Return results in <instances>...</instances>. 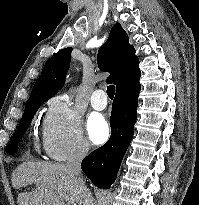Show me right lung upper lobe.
Here are the masks:
<instances>
[{
    "label": "right lung upper lobe",
    "instance_id": "obj_1",
    "mask_svg": "<svg viewBox=\"0 0 199 205\" xmlns=\"http://www.w3.org/2000/svg\"><path fill=\"white\" fill-rule=\"evenodd\" d=\"M71 52V47L62 49L45 63L28 102L49 99L63 87ZM97 63L100 70L110 73L106 82L115 84L116 91L140 75L139 60L135 55V49L129 44L128 35L119 23L112 27L108 40L99 49Z\"/></svg>",
    "mask_w": 199,
    "mask_h": 205
}]
</instances>
